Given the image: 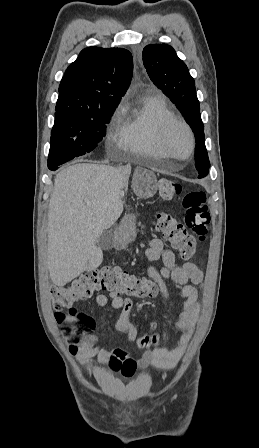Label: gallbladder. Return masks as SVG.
I'll use <instances>...</instances> for the list:
<instances>
[{
  "label": "gallbladder",
  "mask_w": 259,
  "mask_h": 448,
  "mask_svg": "<svg viewBox=\"0 0 259 448\" xmlns=\"http://www.w3.org/2000/svg\"><path fill=\"white\" fill-rule=\"evenodd\" d=\"M114 242L115 238L111 230H105V232L101 234L100 238H98L97 246L98 248H101V250H111V248H113Z\"/></svg>",
  "instance_id": "1"
}]
</instances>
